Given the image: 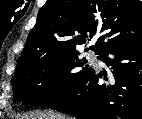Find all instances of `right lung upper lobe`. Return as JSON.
Masks as SVG:
<instances>
[{
	"instance_id": "right-lung-upper-lobe-1",
	"label": "right lung upper lobe",
	"mask_w": 142,
	"mask_h": 119,
	"mask_svg": "<svg viewBox=\"0 0 142 119\" xmlns=\"http://www.w3.org/2000/svg\"><path fill=\"white\" fill-rule=\"evenodd\" d=\"M96 54L142 38L139 0H47L28 35L16 70L43 57L76 50L97 33ZM88 51V49H86Z\"/></svg>"
}]
</instances>
